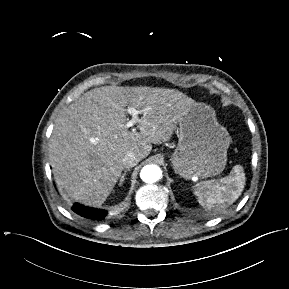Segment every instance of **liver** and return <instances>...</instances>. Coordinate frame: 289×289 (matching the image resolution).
<instances>
[{"instance_id":"obj_1","label":"liver","mask_w":289,"mask_h":289,"mask_svg":"<svg viewBox=\"0 0 289 289\" xmlns=\"http://www.w3.org/2000/svg\"><path fill=\"white\" fill-rule=\"evenodd\" d=\"M194 104L184 93L166 88L102 86L84 93L57 117L49 141L59 190L76 202L101 206L121 176L125 155L146 158L152 144L171 139ZM126 107L142 111L140 132L125 127Z\"/></svg>"}]
</instances>
